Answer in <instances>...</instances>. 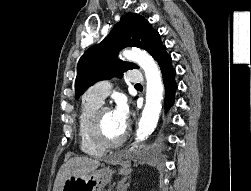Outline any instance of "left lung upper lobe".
Here are the masks:
<instances>
[{
    "label": "left lung upper lobe",
    "mask_w": 251,
    "mask_h": 191,
    "mask_svg": "<svg viewBox=\"0 0 251 191\" xmlns=\"http://www.w3.org/2000/svg\"><path fill=\"white\" fill-rule=\"evenodd\" d=\"M134 46L145 49L157 58L166 51L159 33L141 15H123L106 39L90 47L77 65L75 98L78 99L97 81L121 77L128 69L138 68L133 63L119 61L115 55L123 48Z\"/></svg>",
    "instance_id": "left-lung-upper-lobe-1"
}]
</instances>
